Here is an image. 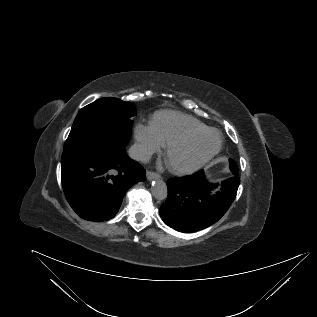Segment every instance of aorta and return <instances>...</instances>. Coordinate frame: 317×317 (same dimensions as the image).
<instances>
[{
	"label": "aorta",
	"mask_w": 317,
	"mask_h": 317,
	"mask_svg": "<svg viewBox=\"0 0 317 317\" xmlns=\"http://www.w3.org/2000/svg\"><path fill=\"white\" fill-rule=\"evenodd\" d=\"M151 191H152V195L158 200H164L167 198V195H168L167 185L159 177H157L152 182Z\"/></svg>",
	"instance_id": "1"
}]
</instances>
